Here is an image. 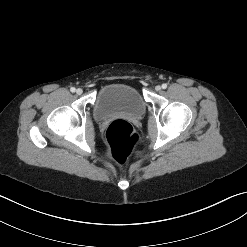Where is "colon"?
Listing matches in <instances>:
<instances>
[{"instance_id":"5ec220e1","label":"colon","mask_w":247,"mask_h":247,"mask_svg":"<svg viewBox=\"0 0 247 247\" xmlns=\"http://www.w3.org/2000/svg\"><path fill=\"white\" fill-rule=\"evenodd\" d=\"M109 156L123 164L135 153L139 136L133 126L125 120L112 122L105 133Z\"/></svg>"}]
</instances>
